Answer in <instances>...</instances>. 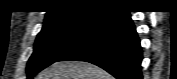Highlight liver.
I'll list each match as a JSON object with an SVG mask.
<instances>
[{
  "mask_svg": "<svg viewBox=\"0 0 177 79\" xmlns=\"http://www.w3.org/2000/svg\"><path fill=\"white\" fill-rule=\"evenodd\" d=\"M101 68L82 61L55 62L43 70L37 79H111Z\"/></svg>",
  "mask_w": 177,
  "mask_h": 79,
  "instance_id": "liver-1",
  "label": "liver"
}]
</instances>
